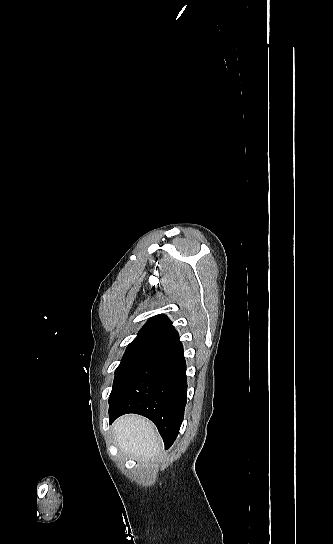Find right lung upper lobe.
<instances>
[{
	"instance_id": "1",
	"label": "right lung upper lobe",
	"mask_w": 333,
	"mask_h": 544,
	"mask_svg": "<svg viewBox=\"0 0 333 544\" xmlns=\"http://www.w3.org/2000/svg\"><path fill=\"white\" fill-rule=\"evenodd\" d=\"M178 337L172 322L164 315L151 318L139 331L137 337L129 344V348H154Z\"/></svg>"
}]
</instances>
